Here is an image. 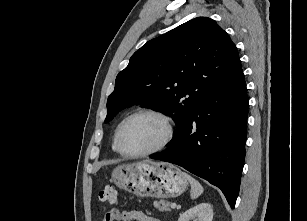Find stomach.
Instances as JSON below:
<instances>
[{"mask_svg": "<svg viewBox=\"0 0 307 221\" xmlns=\"http://www.w3.org/2000/svg\"><path fill=\"white\" fill-rule=\"evenodd\" d=\"M112 180L119 188L140 197H177L188 186L187 178L178 167L150 160L117 166Z\"/></svg>", "mask_w": 307, "mask_h": 221, "instance_id": "1", "label": "stomach"}]
</instances>
